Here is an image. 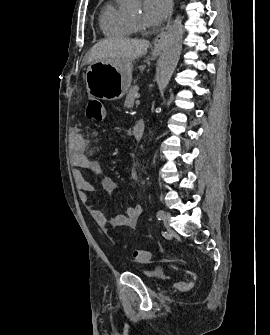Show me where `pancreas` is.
I'll list each match as a JSON object with an SVG mask.
<instances>
[{
    "label": "pancreas",
    "mask_w": 270,
    "mask_h": 335,
    "mask_svg": "<svg viewBox=\"0 0 270 335\" xmlns=\"http://www.w3.org/2000/svg\"><path fill=\"white\" fill-rule=\"evenodd\" d=\"M138 92L139 86H132V88H130L124 104L126 108H132V106H134L135 94H138Z\"/></svg>",
    "instance_id": "pancreas-1"
}]
</instances>
